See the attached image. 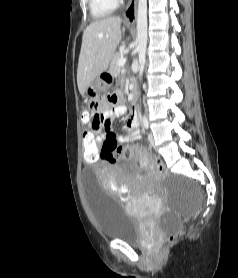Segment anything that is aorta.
<instances>
[{
    "label": "aorta",
    "instance_id": "1",
    "mask_svg": "<svg viewBox=\"0 0 238 278\" xmlns=\"http://www.w3.org/2000/svg\"><path fill=\"white\" fill-rule=\"evenodd\" d=\"M137 51L139 61V77L142 78L146 62L147 46V0H138L137 12Z\"/></svg>",
    "mask_w": 238,
    "mask_h": 278
}]
</instances>
